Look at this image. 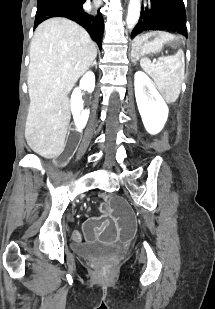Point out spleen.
<instances>
[{"label": "spleen", "instance_id": "obj_1", "mask_svg": "<svg viewBox=\"0 0 215 309\" xmlns=\"http://www.w3.org/2000/svg\"><path fill=\"white\" fill-rule=\"evenodd\" d=\"M183 56L181 48L171 56H159L157 62H151L150 58L144 56L140 64L152 76L166 102H175L181 90V76L179 70L180 58Z\"/></svg>", "mask_w": 215, "mask_h": 309}]
</instances>
